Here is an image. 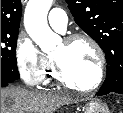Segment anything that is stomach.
Here are the masks:
<instances>
[{
	"label": "stomach",
	"mask_w": 123,
	"mask_h": 113,
	"mask_svg": "<svg viewBox=\"0 0 123 113\" xmlns=\"http://www.w3.org/2000/svg\"><path fill=\"white\" fill-rule=\"evenodd\" d=\"M84 113H109V109L102 101L92 99L85 104Z\"/></svg>",
	"instance_id": "obj_1"
}]
</instances>
